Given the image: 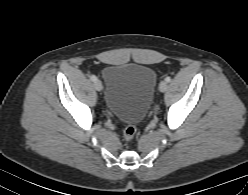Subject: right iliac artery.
<instances>
[{
  "label": "right iliac artery",
  "mask_w": 248,
  "mask_h": 195,
  "mask_svg": "<svg viewBox=\"0 0 248 195\" xmlns=\"http://www.w3.org/2000/svg\"><path fill=\"white\" fill-rule=\"evenodd\" d=\"M90 79L95 82L97 80V77L95 75H91Z\"/></svg>",
  "instance_id": "obj_1"
}]
</instances>
